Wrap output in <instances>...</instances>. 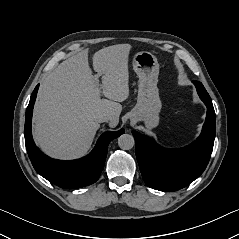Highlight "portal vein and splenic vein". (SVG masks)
I'll return each mask as SVG.
<instances>
[{"label":"portal vein and splenic vein","mask_w":239,"mask_h":239,"mask_svg":"<svg viewBox=\"0 0 239 239\" xmlns=\"http://www.w3.org/2000/svg\"><path fill=\"white\" fill-rule=\"evenodd\" d=\"M95 79L98 81V76H95Z\"/></svg>","instance_id":"portal-vein-and-splenic-vein-1"}]
</instances>
